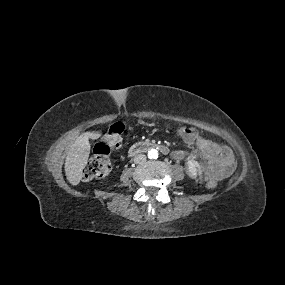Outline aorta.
<instances>
[{"mask_svg":"<svg viewBox=\"0 0 285 285\" xmlns=\"http://www.w3.org/2000/svg\"><path fill=\"white\" fill-rule=\"evenodd\" d=\"M158 155H159V153H158V150H156V149H150L148 151V158L149 159H157Z\"/></svg>","mask_w":285,"mask_h":285,"instance_id":"1","label":"aorta"}]
</instances>
